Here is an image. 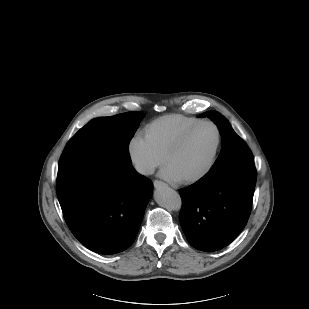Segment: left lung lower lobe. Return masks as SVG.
<instances>
[{"mask_svg": "<svg viewBox=\"0 0 309 309\" xmlns=\"http://www.w3.org/2000/svg\"><path fill=\"white\" fill-rule=\"evenodd\" d=\"M255 183L254 160L247 157L180 189L179 219L188 242L209 252L231 243L248 221Z\"/></svg>", "mask_w": 309, "mask_h": 309, "instance_id": "1", "label": "left lung lower lobe"}]
</instances>
